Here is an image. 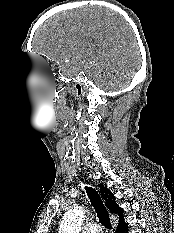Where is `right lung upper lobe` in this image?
<instances>
[{
	"label": "right lung upper lobe",
	"instance_id": "right-lung-upper-lobe-1",
	"mask_svg": "<svg viewBox=\"0 0 174 233\" xmlns=\"http://www.w3.org/2000/svg\"><path fill=\"white\" fill-rule=\"evenodd\" d=\"M99 187L100 193L102 195V198L105 200L107 208L110 210V212L115 213L119 216V224L117 228H122L126 225L123 216V209L116 204L115 198L109 189L104 187L102 184H99Z\"/></svg>",
	"mask_w": 174,
	"mask_h": 233
}]
</instances>
